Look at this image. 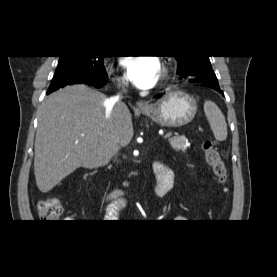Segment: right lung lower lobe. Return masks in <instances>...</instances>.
<instances>
[{"label": "right lung lower lobe", "mask_w": 277, "mask_h": 277, "mask_svg": "<svg viewBox=\"0 0 277 277\" xmlns=\"http://www.w3.org/2000/svg\"><path fill=\"white\" fill-rule=\"evenodd\" d=\"M78 83H84V84H88V85H91V86H94V87H97V88H100L102 87L104 84H100V83H97V82H91V81H87V80H83L81 82H78ZM52 91H48L47 94L51 93Z\"/></svg>", "instance_id": "right-lung-lower-lobe-1"}]
</instances>
